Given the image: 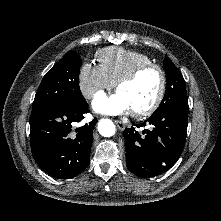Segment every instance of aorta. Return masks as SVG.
Returning <instances> with one entry per match:
<instances>
[{
	"label": "aorta",
	"mask_w": 221,
	"mask_h": 221,
	"mask_svg": "<svg viewBox=\"0 0 221 221\" xmlns=\"http://www.w3.org/2000/svg\"><path fill=\"white\" fill-rule=\"evenodd\" d=\"M115 130L114 123L109 119H102L98 123V131L104 137L113 136Z\"/></svg>",
	"instance_id": "obj_1"
}]
</instances>
